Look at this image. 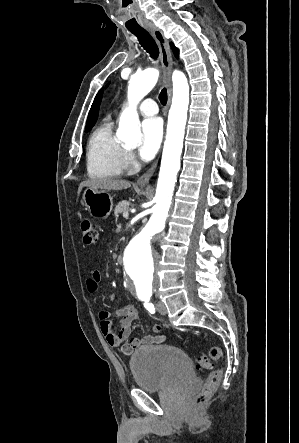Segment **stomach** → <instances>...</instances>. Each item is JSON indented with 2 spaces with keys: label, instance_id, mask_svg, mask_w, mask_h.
I'll list each match as a JSON object with an SVG mask.
<instances>
[{
  "label": "stomach",
  "instance_id": "0dacf381",
  "mask_svg": "<svg viewBox=\"0 0 299 443\" xmlns=\"http://www.w3.org/2000/svg\"><path fill=\"white\" fill-rule=\"evenodd\" d=\"M83 204L93 216L106 219L113 209V197L104 190L88 187L83 193Z\"/></svg>",
  "mask_w": 299,
  "mask_h": 443
}]
</instances>
